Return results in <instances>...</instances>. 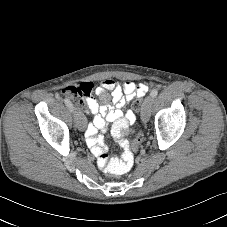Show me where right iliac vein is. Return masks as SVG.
<instances>
[{
	"mask_svg": "<svg viewBox=\"0 0 227 227\" xmlns=\"http://www.w3.org/2000/svg\"><path fill=\"white\" fill-rule=\"evenodd\" d=\"M74 111V122L75 126L80 130L83 131L85 129V122L82 113L75 109Z\"/></svg>",
	"mask_w": 227,
	"mask_h": 227,
	"instance_id": "1",
	"label": "right iliac vein"
}]
</instances>
